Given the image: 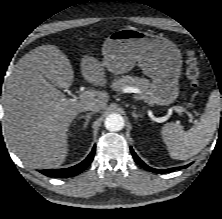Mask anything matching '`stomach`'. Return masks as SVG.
<instances>
[{
	"label": "stomach",
	"instance_id": "stomach-1",
	"mask_svg": "<svg viewBox=\"0 0 222 219\" xmlns=\"http://www.w3.org/2000/svg\"><path fill=\"white\" fill-rule=\"evenodd\" d=\"M102 64L114 74H123L138 64L153 82L148 95L152 104L168 105L179 95L182 57L170 40L136 28L112 32L102 47Z\"/></svg>",
	"mask_w": 222,
	"mask_h": 219
}]
</instances>
